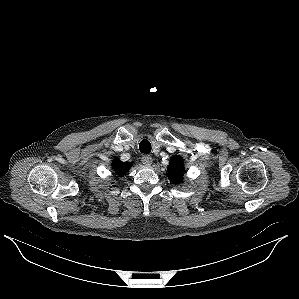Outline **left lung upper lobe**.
Segmentation results:
<instances>
[{
	"label": "left lung upper lobe",
	"mask_w": 299,
	"mask_h": 299,
	"mask_svg": "<svg viewBox=\"0 0 299 299\" xmlns=\"http://www.w3.org/2000/svg\"><path fill=\"white\" fill-rule=\"evenodd\" d=\"M167 170H168L167 175L173 183L177 184L181 182L183 172H184L183 158L180 156H174L170 161Z\"/></svg>",
	"instance_id": "obj_1"
}]
</instances>
